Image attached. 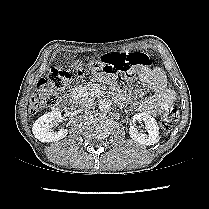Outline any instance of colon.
I'll return each mask as SVG.
<instances>
[{
  "instance_id": "1",
  "label": "colon",
  "mask_w": 209,
  "mask_h": 209,
  "mask_svg": "<svg viewBox=\"0 0 209 209\" xmlns=\"http://www.w3.org/2000/svg\"><path fill=\"white\" fill-rule=\"evenodd\" d=\"M152 57L146 53H113L102 56L98 61L90 63L89 70H103L108 73L115 71L130 72L134 67L149 65ZM74 76L70 71L52 69L47 78H41L33 93L30 111H38L52 108L59 103L60 94L69 86ZM178 120V111L170 108L166 111L161 121V133L166 135L171 126Z\"/></svg>"
}]
</instances>
